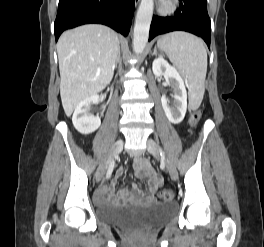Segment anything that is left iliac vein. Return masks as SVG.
<instances>
[{
    "label": "left iliac vein",
    "instance_id": "obj_1",
    "mask_svg": "<svg viewBox=\"0 0 264 247\" xmlns=\"http://www.w3.org/2000/svg\"><path fill=\"white\" fill-rule=\"evenodd\" d=\"M147 150L154 157H157V158L161 157L160 147L152 139H148L147 140ZM164 162H165V166H166V169H167L170 177L173 180H177V178H178V172H177V169H176L174 163L169 158H167V157H164Z\"/></svg>",
    "mask_w": 264,
    "mask_h": 247
}]
</instances>
